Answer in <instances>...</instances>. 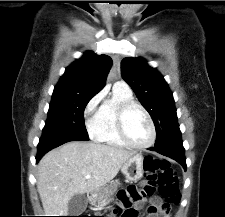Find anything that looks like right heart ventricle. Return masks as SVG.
<instances>
[{
  "label": "right heart ventricle",
  "instance_id": "obj_1",
  "mask_svg": "<svg viewBox=\"0 0 225 217\" xmlns=\"http://www.w3.org/2000/svg\"><path fill=\"white\" fill-rule=\"evenodd\" d=\"M128 100H133L131 90H124L114 86L113 96L105 100L100 107L99 132L96 137L99 142L114 148L127 147L118 134L116 112L118 106Z\"/></svg>",
  "mask_w": 225,
  "mask_h": 217
}]
</instances>
